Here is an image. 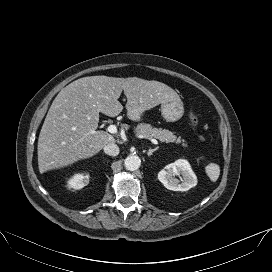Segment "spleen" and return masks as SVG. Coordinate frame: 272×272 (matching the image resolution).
I'll list each match as a JSON object with an SVG mask.
<instances>
[{
  "mask_svg": "<svg viewBox=\"0 0 272 272\" xmlns=\"http://www.w3.org/2000/svg\"><path fill=\"white\" fill-rule=\"evenodd\" d=\"M205 172L212 182H216L220 175V167L216 163H209L205 167Z\"/></svg>",
  "mask_w": 272,
  "mask_h": 272,
  "instance_id": "3e777b00",
  "label": "spleen"
}]
</instances>
